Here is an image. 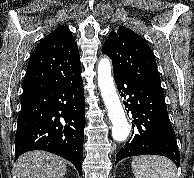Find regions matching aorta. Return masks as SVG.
<instances>
[{"label": "aorta", "instance_id": "762f6f07", "mask_svg": "<svg viewBox=\"0 0 194 178\" xmlns=\"http://www.w3.org/2000/svg\"><path fill=\"white\" fill-rule=\"evenodd\" d=\"M98 86L101 96L108 111L112 123V137L115 141H125L130 134L129 125L123 107L116 92L111 75V62L108 58H102L98 64Z\"/></svg>", "mask_w": 194, "mask_h": 178}]
</instances>
